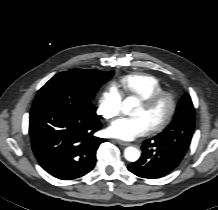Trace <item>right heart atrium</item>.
I'll list each match as a JSON object with an SVG mask.
<instances>
[{
  "mask_svg": "<svg viewBox=\"0 0 218 210\" xmlns=\"http://www.w3.org/2000/svg\"><path fill=\"white\" fill-rule=\"evenodd\" d=\"M121 95L115 88H107L100 96L97 112L105 119L116 117L121 109Z\"/></svg>",
  "mask_w": 218,
  "mask_h": 210,
  "instance_id": "d8ad5b80",
  "label": "right heart atrium"
}]
</instances>
